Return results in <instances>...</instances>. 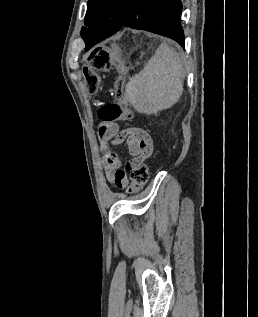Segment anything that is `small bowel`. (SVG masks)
<instances>
[{
  "label": "small bowel",
  "mask_w": 258,
  "mask_h": 317,
  "mask_svg": "<svg viewBox=\"0 0 258 317\" xmlns=\"http://www.w3.org/2000/svg\"><path fill=\"white\" fill-rule=\"evenodd\" d=\"M103 164L106 176L113 185L123 188L128 183L127 173L147 160L153 153L154 145L150 134L144 129L131 127L119 131L114 122H102L98 127ZM124 144L130 159L122 167L120 156L114 146Z\"/></svg>",
  "instance_id": "small-bowel-1"
}]
</instances>
